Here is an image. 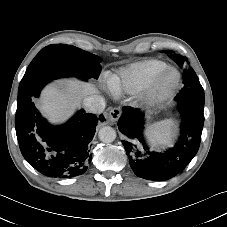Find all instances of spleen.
Here are the masks:
<instances>
[{"mask_svg":"<svg viewBox=\"0 0 227 227\" xmlns=\"http://www.w3.org/2000/svg\"><path fill=\"white\" fill-rule=\"evenodd\" d=\"M174 135L175 121L173 119L166 120L147 132V138L155 148L170 146Z\"/></svg>","mask_w":227,"mask_h":227,"instance_id":"obj_1","label":"spleen"}]
</instances>
